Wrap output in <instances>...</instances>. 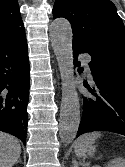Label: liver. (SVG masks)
<instances>
[{"instance_id": "6515ba94", "label": "liver", "mask_w": 125, "mask_h": 167, "mask_svg": "<svg viewBox=\"0 0 125 167\" xmlns=\"http://www.w3.org/2000/svg\"><path fill=\"white\" fill-rule=\"evenodd\" d=\"M21 145L17 138L0 132V167H12L19 159Z\"/></svg>"}]
</instances>
